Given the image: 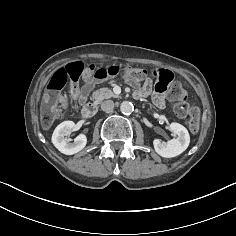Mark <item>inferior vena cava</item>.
<instances>
[{"mask_svg":"<svg viewBox=\"0 0 236 236\" xmlns=\"http://www.w3.org/2000/svg\"><path fill=\"white\" fill-rule=\"evenodd\" d=\"M113 108H114V102L112 100H106L101 104V109L103 111H111Z\"/></svg>","mask_w":236,"mask_h":236,"instance_id":"obj_1","label":"inferior vena cava"}]
</instances>
